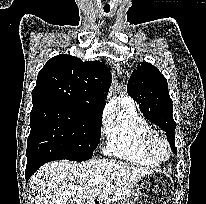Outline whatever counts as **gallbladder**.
Segmentation results:
<instances>
[{"mask_svg":"<svg viewBox=\"0 0 206 204\" xmlns=\"http://www.w3.org/2000/svg\"><path fill=\"white\" fill-rule=\"evenodd\" d=\"M66 204H74L72 200H68Z\"/></svg>","mask_w":206,"mask_h":204,"instance_id":"obj_1","label":"gallbladder"}]
</instances>
